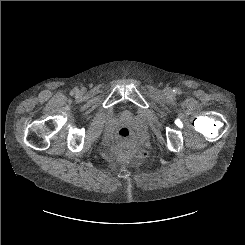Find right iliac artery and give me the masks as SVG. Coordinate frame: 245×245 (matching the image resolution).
I'll return each mask as SVG.
<instances>
[{
	"label": "right iliac artery",
	"instance_id": "right-iliac-artery-1",
	"mask_svg": "<svg viewBox=\"0 0 245 245\" xmlns=\"http://www.w3.org/2000/svg\"><path fill=\"white\" fill-rule=\"evenodd\" d=\"M76 91H77V89H75V90L71 91V95H73V94H74V92H76Z\"/></svg>",
	"mask_w": 245,
	"mask_h": 245
}]
</instances>
